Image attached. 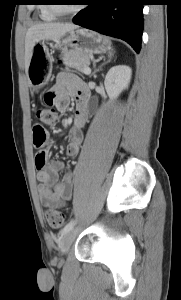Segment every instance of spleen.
<instances>
[{
  "label": "spleen",
  "instance_id": "spleen-1",
  "mask_svg": "<svg viewBox=\"0 0 181 300\" xmlns=\"http://www.w3.org/2000/svg\"><path fill=\"white\" fill-rule=\"evenodd\" d=\"M113 54L111 52H109V57H111Z\"/></svg>",
  "mask_w": 181,
  "mask_h": 300
}]
</instances>
